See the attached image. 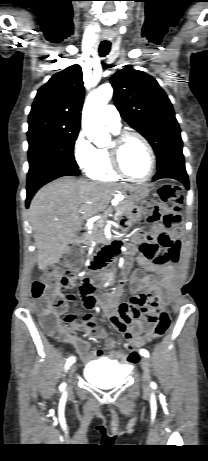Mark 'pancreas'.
<instances>
[{"label": "pancreas", "mask_w": 208, "mask_h": 461, "mask_svg": "<svg viewBox=\"0 0 208 461\" xmlns=\"http://www.w3.org/2000/svg\"><path fill=\"white\" fill-rule=\"evenodd\" d=\"M133 207H134L133 201L128 198H125L118 204V206L114 208V210L116 212L121 211V215H122V214H126L130 212L133 209ZM110 210L111 208H109L104 213V216L102 217V219L99 220L98 223L95 225V228L91 234V239L93 240L94 243H102V244L106 243V238L104 237L103 227L106 223ZM115 220H117V217H115Z\"/></svg>", "instance_id": "obj_1"}]
</instances>
